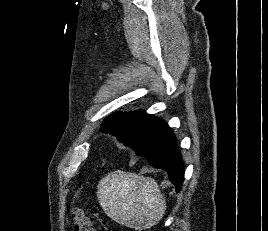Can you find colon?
<instances>
[{"mask_svg": "<svg viewBox=\"0 0 268 231\" xmlns=\"http://www.w3.org/2000/svg\"><path fill=\"white\" fill-rule=\"evenodd\" d=\"M72 220H73L74 231H94L92 221L88 216L84 214V212L81 209L75 208L73 210Z\"/></svg>", "mask_w": 268, "mask_h": 231, "instance_id": "5ec220e1", "label": "colon"}]
</instances>
